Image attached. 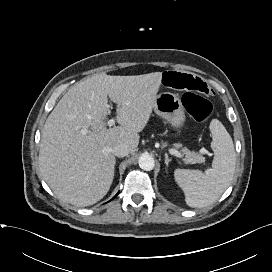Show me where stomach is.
Masks as SVG:
<instances>
[{"mask_svg":"<svg viewBox=\"0 0 272 272\" xmlns=\"http://www.w3.org/2000/svg\"><path fill=\"white\" fill-rule=\"evenodd\" d=\"M154 111L175 128H181L185 122L184 107L176 94L164 92L157 95Z\"/></svg>","mask_w":272,"mask_h":272,"instance_id":"obj_1","label":"stomach"}]
</instances>
